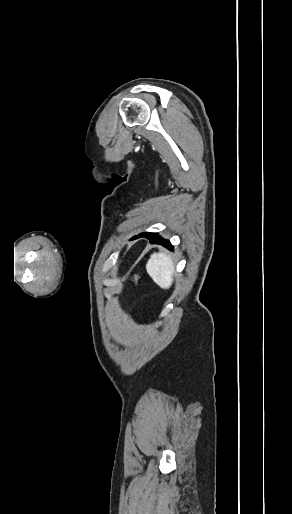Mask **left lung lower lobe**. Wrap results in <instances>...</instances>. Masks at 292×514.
Returning a JSON list of instances; mask_svg holds the SVG:
<instances>
[{
	"instance_id": "0a47b994",
	"label": "left lung lower lobe",
	"mask_w": 292,
	"mask_h": 514,
	"mask_svg": "<svg viewBox=\"0 0 292 514\" xmlns=\"http://www.w3.org/2000/svg\"><path fill=\"white\" fill-rule=\"evenodd\" d=\"M140 237H145L149 239L151 244H160L164 247L168 248L169 250L173 249V246L171 245L169 240L163 239L161 236H159L157 233H150V232H143L132 239H137Z\"/></svg>"
}]
</instances>
